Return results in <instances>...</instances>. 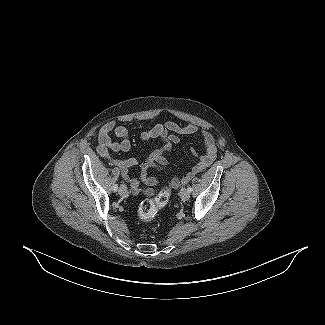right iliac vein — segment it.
I'll list each match as a JSON object with an SVG mask.
<instances>
[{
    "mask_svg": "<svg viewBox=\"0 0 325 325\" xmlns=\"http://www.w3.org/2000/svg\"><path fill=\"white\" fill-rule=\"evenodd\" d=\"M118 193H119L121 196H124V195L127 193V187H126V185L122 184V185L119 187Z\"/></svg>",
    "mask_w": 325,
    "mask_h": 325,
    "instance_id": "63e3f726",
    "label": "right iliac vein"
}]
</instances>
